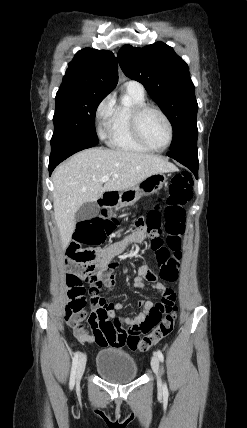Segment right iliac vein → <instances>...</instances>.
<instances>
[{
  "mask_svg": "<svg viewBox=\"0 0 247 428\" xmlns=\"http://www.w3.org/2000/svg\"><path fill=\"white\" fill-rule=\"evenodd\" d=\"M86 355H82L79 362H78V367H77V373H76V384L77 386L80 383V380L83 376L84 370H85V366H86Z\"/></svg>",
  "mask_w": 247,
  "mask_h": 428,
  "instance_id": "1",
  "label": "right iliac vein"
}]
</instances>
